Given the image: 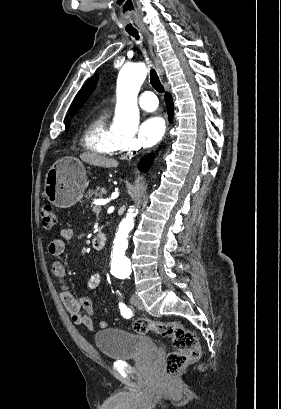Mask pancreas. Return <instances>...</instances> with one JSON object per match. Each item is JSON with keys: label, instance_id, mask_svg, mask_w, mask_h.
I'll list each match as a JSON object with an SVG mask.
<instances>
[{"label": "pancreas", "instance_id": "pancreas-1", "mask_svg": "<svg viewBox=\"0 0 281 409\" xmlns=\"http://www.w3.org/2000/svg\"><path fill=\"white\" fill-rule=\"evenodd\" d=\"M107 190L104 186H95V188H89L88 192H86V198H102L104 194H106Z\"/></svg>", "mask_w": 281, "mask_h": 409}]
</instances>
